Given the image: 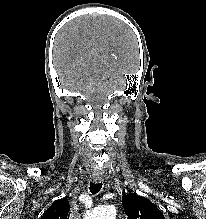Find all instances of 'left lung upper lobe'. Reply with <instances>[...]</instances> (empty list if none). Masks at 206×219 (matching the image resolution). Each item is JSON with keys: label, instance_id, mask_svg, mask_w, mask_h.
Instances as JSON below:
<instances>
[{"label": "left lung upper lobe", "instance_id": "1", "mask_svg": "<svg viewBox=\"0 0 206 219\" xmlns=\"http://www.w3.org/2000/svg\"><path fill=\"white\" fill-rule=\"evenodd\" d=\"M122 204L127 219H165L154 203L137 194H123Z\"/></svg>", "mask_w": 206, "mask_h": 219}]
</instances>
